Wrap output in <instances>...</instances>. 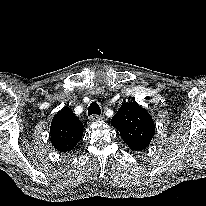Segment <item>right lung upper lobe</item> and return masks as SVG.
I'll list each match as a JSON object with an SVG mask.
<instances>
[{
	"label": "right lung upper lobe",
	"instance_id": "obj_1",
	"mask_svg": "<svg viewBox=\"0 0 206 206\" xmlns=\"http://www.w3.org/2000/svg\"><path fill=\"white\" fill-rule=\"evenodd\" d=\"M83 124L68 108L60 110L52 119L50 126V140L54 148L60 152H67L81 140Z\"/></svg>",
	"mask_w": 206,
	"mask_h": 206
}]
</instances>
